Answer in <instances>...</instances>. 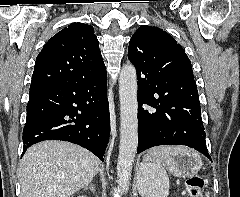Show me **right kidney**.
Segmentation results:
<instances>
[{"mask_svg": "<svg viewBox=\"0 0 240 197\" xmlns=\"http://www.w3.org/2000/svg\"><path fill=\"white\" fill-rule=\"evenodd\" d=\"M78 197H86V196H78Z\"/></svg>", "mask_w": 240, "mask_h": 197, "instance_id": "1", "label": "right kidney"}]
</instances>
